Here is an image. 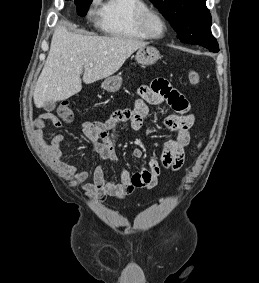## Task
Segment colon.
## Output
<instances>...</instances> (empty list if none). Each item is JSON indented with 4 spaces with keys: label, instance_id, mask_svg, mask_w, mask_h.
I'll return each instance as SVG.
<instances>
[{
    "label": "colon",
    "instance_id": "colon-1",
    "mask_svg": "<svg viewBox=\"0 0 259 283\" xmlns=\"http://www.w3.org/2000/svg\"><path fill=\"white\" fill-rule=\"evenodd\" d=\"M188 80L193 85L201 83V76L196 69L190 68L187 72ZM58 118L62 120H71L74 118L72 105L69 101L62 102L55 111Z\"/></svg>",
    "mask_w": 259,
    "mask_h": 283
}]
</instances>
